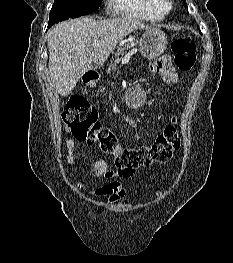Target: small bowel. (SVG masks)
Instances as JSON below:
<instances>
[{
  "label": "small bowel",
  "instance_id": "small-bowel-1",
  "mask_svg": "<svg viewBox=\"0 0 233 263\" xmlns=\"http://www.w3.org/2000/svg\"><path fill=\"white\" fill-rule=\"evenodd\" d=\"M151 72L159 73L163 80L168 84H176L179 81L177 72L174 69V66L171 63L170 57L163 56L157 60L154 64L149 67ZM66 146V162L67 165L73 167V157L72 150L74 147V142L71 139H68L65 143ZM95 177H105L111 179L115 176L126 177L129 175H124L118 170H111L107 163L103 160L98 161L90 170ZM131 175V174H130ZM96 197L106 198L109 203L118 202L125 194V191L119 181H111L108 184L97 188L92 192Z\"/></svg>",
  "mask_w": 233,
  "mask_h": 263
}]
</instances>
